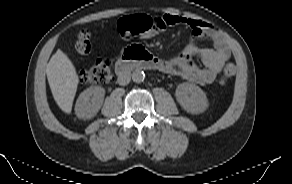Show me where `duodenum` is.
Wrapping results in <instances>:
<instances>
[{
	"label": "duodenum",
	"instance_id": "duodenum-1",
	"mask_svg": "<svg viewBox=\"0 0 292 184\" xmlns=\"http://www.w3.org/2000/svg\"><path fill=\"white\" fill-rule=\"evenodd\" d=\"M131 68L164 71L165 63L164 60L148 53L144 48L135 46L125 51L122 58L117 61L115 72L122 77Z\"/></svg>",
	"mask_w": 292,
	"mask_h": 184
}]
</instances>
